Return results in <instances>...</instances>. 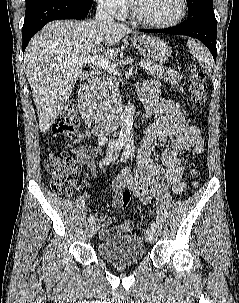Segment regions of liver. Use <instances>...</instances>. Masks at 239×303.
I'll use <instances>...</instances> for the list:
<instances>
[{"instance_id":"1","label":"liver","mask_w":239,"mask_h":303,"mask_svg":"<svg viewBox=\"0 0 239 303\" xmlns=\"http://www.w3.org/2000/svg\"><path fill=\"white\" fill-rule=\"evenodd\" d=\"M130 33V28L115 22L58 20L31 39L24 54V71L42 133L55 122L82 74V65L74 61L95 55L102 44L110 46L104 50L107 57H116L119 49L111 47Z\"/></svg>"}]
</instances>
